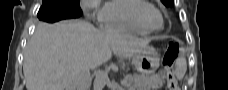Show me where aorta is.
<instances>
[{"label": "aorta", "instance_id": "762f6f07", "mask_svg": "<svg viewBox=\"0 0 228 90\" xmlns=\"http://www.w3.org/2000/svg\"><path fill=\"white\" fill-rule=\"evenodd\" d=\"M109 78L108 73L105 71H101L96 75L94 80L93 88L94 90H103L105 85L107 84Z\"/></svg>", "mask_w": 228, "mask_h": 90}]
</instances>
